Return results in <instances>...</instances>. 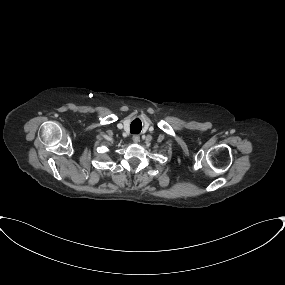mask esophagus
I'll use <instances>...</instances> for the list:
<instances>
[{
	"instance_id": "obj_1",
	"label": "esophagus",
	"mask_w": 285,
	"mask_h": 285,
	"mask_svg": "<svg viewBox=\"0 0 285 285\" xmlns=\"http://www.w3.org/2000/svg\"><path fill=\"white\" fill-rule=\"evenodd\" d=\"M133 141L135 142V143H138L139 141H140V136L138 135V134H136V135H134L133 136Z\"/></svg>"
}]
</instances>
